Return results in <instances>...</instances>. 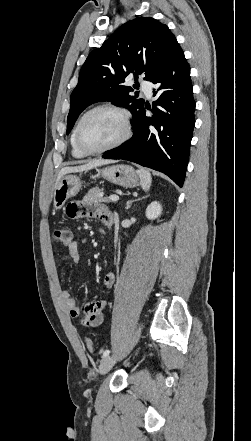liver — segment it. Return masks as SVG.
<instances>
[{
	"label": "liver",
	"mask_w": 251,
	"mask_h": 441,
	"mask_svg": "<svg viewBox=\"0 0 251 441\" xmlns=\"http://www.w3.org/2000/svg\"><path fill=\"white\" fill-rule=\"evenodd\" d=\"M110 163H113V161H111V160H103V159H95V160H91V161H89V162H87L86 164H83V165L72 166V167H64V168H62L60 170V172H59V174L57 176L55 187L57 186V184L60 181V179L64 175H66L68 173L88 171V170L96 168L98 166L106 165V164H110Z\"/></svg>",
	"instance_id": "liver-1"
}]
</instances>
